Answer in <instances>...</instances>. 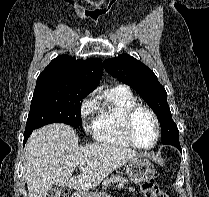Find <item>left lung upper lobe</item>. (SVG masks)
Listing matches in <instances>:
<instances>
[{
	"label": "left lung upper lobe",
	"instance_id": "1",
	"mask_svg": "<svg viewBox=\"0 0 209 197\" xmlns=\"http://www.w3.org/2000/svg\"><path fill=\"white\" fill-rule=\"evenodd\" d=\"M103 66L119 81L136 90L159 117L163 144L179 143V131L174 123L165 88L146 65L128 54L107 59Z\"/></svg>",
	"mask_w": 209,
	"mask_h": 197
}]
</instances>
